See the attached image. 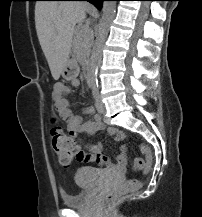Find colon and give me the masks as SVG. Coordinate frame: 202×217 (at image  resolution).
Returning <instances> with one entry per match:
<instances>
[{
	"mask_svg": "<svg viewBox=\"0 0 202 217\" xmlns=\"http://www.w3.org/2000/svg\"><path fill=\"white\" fill-rule=\"evenodd\" d=\"M50 143L54 155L57 157L59 163L63 167H69L72 162L77 159L80 160L85 151L81 150L75 143L74 139L64 133L61 127L55 126L50 131ZM141 150L146 157L144 162L141 158L133 159V168L137 171H142L145 176H148L152 170L153 154L147 145H142ZM141 186V181L138 179H130L119 187L114 192L109 193L103 200L104 204L110 206L114 204L119 196L126 191H135Z\"/></svg>",
	"mask_w": 202,
	"mask_h": 217,
	"instance_id": "colon-1",
	"label": "colon"
}]
</instances>
